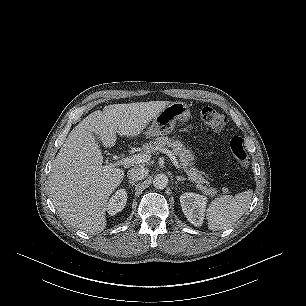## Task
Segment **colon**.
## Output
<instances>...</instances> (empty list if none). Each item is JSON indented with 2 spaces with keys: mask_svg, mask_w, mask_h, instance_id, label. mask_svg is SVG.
Returning <instances> with one entry per match:
<instances>
[{
  "mask_svg": "<svg viewBox=\"0 0 306 306\" xmlns=\"http://www.w3.org/2000/svg\"><path fill=\"white\" fill-rule=\"evenodd\" d=\"M200 116L205 126L213 131H221L226 125L225 115L212 107H203ZM229 147L238 169H245L249 164V156L242 138L233 137L230 140Z\"/></svg>",
  "mask_w": 306,
  "mask_h": 306,
  "instance_id": "5ec220e1",
  "label": "colon"
}]
</instances>
